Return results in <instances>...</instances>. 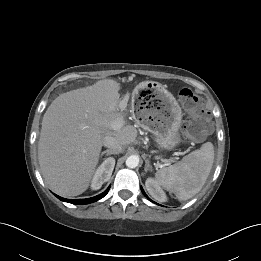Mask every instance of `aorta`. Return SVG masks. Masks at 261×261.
<instances>
[{
  "instance_id": "762f6f07",
  "label": "aorta",
  "mask_w": 261,
  "mask_h": 261,
  "mask_svg": "<svg viewBox=\"0 0 261 261\" xmlns=\"http://www.w3.org/2000/svg\"><path fill=\"white\" fill-rule=\"evenodd\" d=\"M139 164V157L136 155H131L126 159V166L128 168H136Z\"/></svg>"
}]
</instances>
